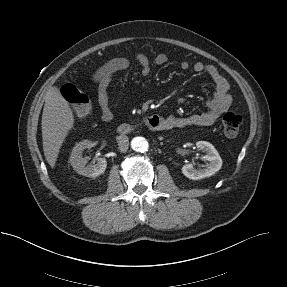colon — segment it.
<instances>
[{
  "label": "colon",
  "instance_id": "1",
  "mask_svg": "<svg viewBox=\"0 0 287 287\" xmlns=\"http://www.w3.org/2000/svg\"><path fill=\"white\" fill-rule=\"evenodd\" d=\"M61 93L71 103L79 116H86L91 110V101L87 95L71 84L64 85ZM242 125V117L234 112H227L222 118V126L226 136L235 137Z\"/></svg>",
  "mask_w": 287,
  "mask_h": 287
}]
</instances>
